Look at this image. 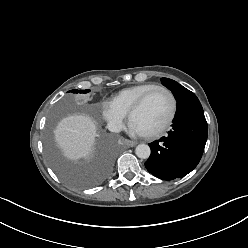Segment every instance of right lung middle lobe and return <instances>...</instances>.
Returning <instances> with one entry per match:
<instances>
[{"label":"right lung middle lobe","mask_w":248,"mask_h":248,"mask_svg":"<svg viewBox=\"0 0 248 248\" xmlns=\"http://www.w3.org/2000/svg\"><path fill=\"white\" fill-rule=\"evenodd\" d=\"M71 92L87 93L89 90H71ZM47 151L49 160L58 175L66 182L78 187H90L101 182L107 175L114 156L112 147L105 143L93 162H71L58 152L51 134L47 137Z\"/></svg>","instance_id":"right-lung-middle-lobe-1"}]
</instances>
